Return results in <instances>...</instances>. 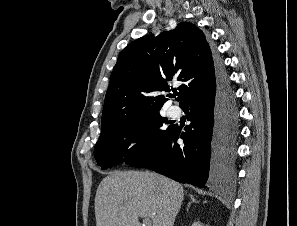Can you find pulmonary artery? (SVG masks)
I'll return each mask as SVG.
<instances>
[{
	"label": "pulmonary artery",
	"mask_w": 297,
	"mask_h": 226,
	"mask_svg": "<svg viewBox=\"0 0 297 226\" xmlns=\"http://www.w3.org/2000/svg\"><path fill=\"white\" fill-rule=\"evenodd\" d=\"M169 115L172 118H178L181 115V109L177 105H173L169 108Z\"/></svg>",
	"instance_id": "1"
}]
</instances>
